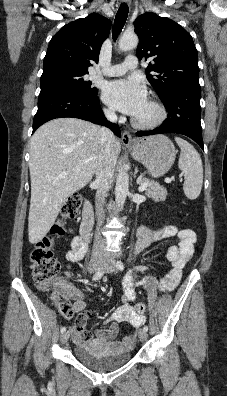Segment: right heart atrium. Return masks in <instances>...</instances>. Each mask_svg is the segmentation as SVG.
I'll return each mask as SVG.
<instances>
[{"mask_svg":"<svg viewBox=\"0 0 227 396\" xmlns=\"http://www.w3.org/2000/svg\"><path fill=\"white\" fill-rule=\"evenodd\" d=\"M104 113L108 118H114L115 117V112L112 108H105Z\"/></svg>","mask_w":227,"mask_h":396,"instance_id":"1","label":"right heart atrium"}]
</instances>
